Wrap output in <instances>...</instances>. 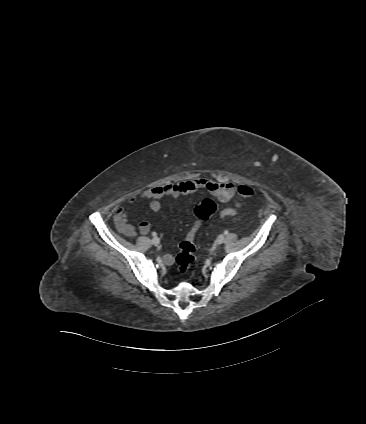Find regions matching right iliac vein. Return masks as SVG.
Returning a JSON list of instances; mask_svg holds the SVG:
<instances>
[{"label": "right iliac vein", "mask_w": 366, "mask_h": 424, "mask_svg": "<svg viewBox=\"0 0 366 424\" xmlns=\"http://www.w3.org/2000/svg\"><path fill=\"white\" fill-rule=\"evenodd\" d=\"M152 244H153V245H155V246H158V245L160 244V240H159V238L154 237V238L152 239Z\"/></svg>", "instance_id": "obj_1"}]
</instances>
